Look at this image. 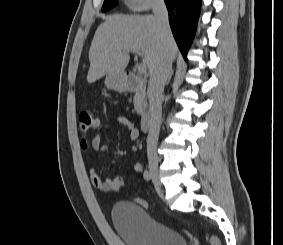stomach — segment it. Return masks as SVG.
<instances>
[{
	"mask_svg": "<svg viewBox=\"0 0 283 245\" xmlns=\"http://www.w3.org/2000/svg\"><path fill=\"white\" fill-rule=\"evenodd\" d=\"M105 84L111 89H122L125 86L123 75L107 74Z\"/></svg>",
	"mask_w": 283,
	"mask_h": 245,
	"instance_id": "stomach-1",
	"label": "stomach"
}]
</instances>
